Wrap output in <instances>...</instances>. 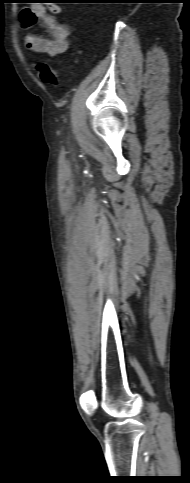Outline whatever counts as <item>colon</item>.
<instances>
[{
	"mask_svg": "<svg viewBox=\"0 0 190 483\" xmlns=\"http://www.w3.org/2000/svg\"><path fill=\"white\" fill-rule=\"evenodd\" d=\"M36 75L46 84L50 86H60L62 76L46 62H39L35 65Z\"/></svg>",
	"mask_w": 190,
	"mask_h": 483,
	"instance_id": "colon-1",
	"label": "colon"
}]
</instances>
